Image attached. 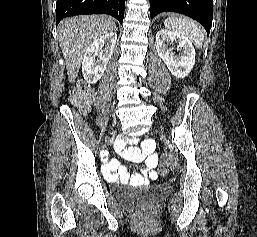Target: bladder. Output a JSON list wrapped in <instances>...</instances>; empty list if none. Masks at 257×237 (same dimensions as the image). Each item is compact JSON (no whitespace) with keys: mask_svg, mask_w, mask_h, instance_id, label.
Masks as SVG:
<instances>
[{"mask_svg":"<svg viewBox=\"0 0 257 237\" xmlns=\"http://www.w3.org/2000/svg\"><path fill=\"white\" fill-rule=\"evenodd\" d=\"M159 194L158 190L153 189L138 192L130 191L123 196V200L131 204L152 203L158 198Z\"/></svg>","mask_w":257,"mask_h":237,"instance_id":"31cf9c89","label":"bladder"}]
</instances>
